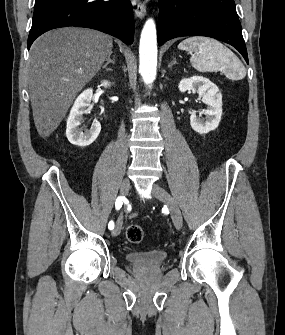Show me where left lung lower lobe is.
Segmentation results:
<instances>
[{"label": "left lung lower lobe", "instance_id": "0a47b994", "mask_svg": "<svg viewBox=\"0 0 285 335\" xmlns=\"http://www.w3.org/2000/svg\"><path fill=\"white\" fill-rule=\"evenodd\" d=\"M158 44L182 36H207L235 47L248 63L234 0H159Z\"/></svg>", "mask_w": 285, "mask_h": 335}]
</instances>
